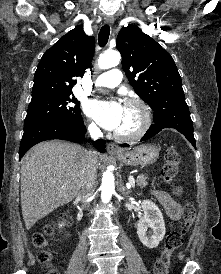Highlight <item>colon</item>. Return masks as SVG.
<instances>
[{
    "label": "colon",
    "mask_w": 221,
    "mask_h": 274,
    "mask_svg": "<svg viewBox=\"0 0 221 274\" xmlns=\"http://www.w3.org/2000/svg\"><path fill=\"white\" fill-rule=\"evenodd\" d=\"M180 155L174 147H168L165 151V164L162 168V176L167 183H171L178 172ZM175 194H179L180 187H174ZM195 207L186 204L183 208V227L180 231L171 232L165 241V247L154 265V274H168L170 260L174 252L179 249L187 236V233L195 218ZM67 222L68 219L64 218ZM55 232L53 225H47L43 230L36 232L33 236V244L38 249L37 258L42 264L51 265L52 254L47 249L48 239ZM49 274H59L56 269H51Z\"/></svg>",
    "instance_id": "5ec220e1"
}]
</instances>
